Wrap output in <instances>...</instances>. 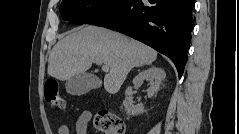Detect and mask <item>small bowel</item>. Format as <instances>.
<instances>
[{
  "instance_id": "c3829d8e",
  "label": "small bowel",
  "mask_w": 239,
  "mask_h": 134,
  "mask_svg": "<svg viewBox=\"0 0 239 134\" xmlns=\"http://www.w3.org/2000/svg\"><path fill=\"white\" fill-rule=\"evenodd\" d=\"M92 118V113L90 111H83L79 115L75 124L76 134H87L88 124ZM58 134H71V129L67 125H60L58 127Z\"/></svg>"
}]
</instances>
